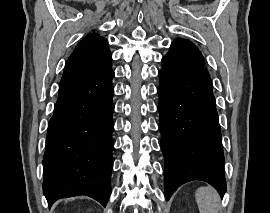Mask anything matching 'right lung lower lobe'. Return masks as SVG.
Returning <instances> with one entry per match:
<instances>
[{
	"instance_id": "1",
	"label": "right lung lower lobe",
	"mask_w": 270,
	"mask_h": 213,
	"mask_svg": "<svg viewBox=\"0 0 270 213\" xmlns=\"http://www.w3.org/2000/svg\"><path fill=\"white\" fill-rule=\"evenodd\" d=\"M113 77L111 70L59 89L43 157V193L49 206L76 195L90 196L104 207L107 204L111 194Z\"/></svg>"
}]
</instances>
